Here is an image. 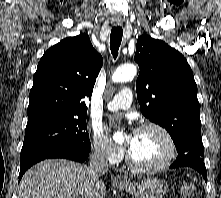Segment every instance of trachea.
<instances>
[{
	"label": "trachea",
	"instance_id": "trachea-1",
	"mask_svg": "<svg viewBox=\"0 0 221 198\" xmlns=\"http://www.w3.org/2000/svg\"><path fill=\"white\" fill-rule=\"evenodd\" d=\"M123 29L121 27H113L110 35V50L113 58L118 56L119 47L122 41Z\"/></svg>",
	"mask_w": 221,
	"mask_h": 198
}]
</instances>
